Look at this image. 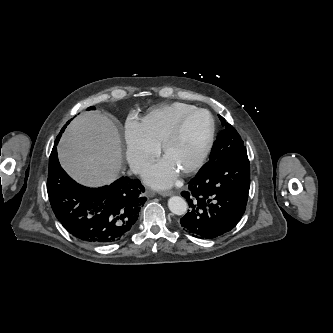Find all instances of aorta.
Returning <instances> with one entry per match:
<instances>
[{"label": "aorta", "instance_id": "aorta-1", "mask_svg": "<svg viewBox=\"0 0 333 333\" xmlns=\"http://www.w3.org/2000/svg\"><path fill=\"white\" fill-rule=\"evenodd\" d=\"M170 211L176 215H185L188 209L187 202L179 196H173L168 201Z\"/></svg>", "mask_w": 333, "mask_h": 333}]
</instances>
